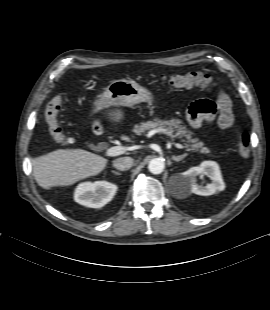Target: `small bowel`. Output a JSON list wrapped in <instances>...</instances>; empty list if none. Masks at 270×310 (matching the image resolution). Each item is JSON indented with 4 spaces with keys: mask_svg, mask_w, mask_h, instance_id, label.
<instances>
[{
    "mask_svg": "<svg viewBox=\"0 0 270 310\" xmlns=\"http://www.w3.org/2000/svg\"><path fill=\"white\" fill-rule=\"evenodd\" d=\"M217 108L219 110V115L216 119L217 126L223 130L228 129L233 124L234 119L231 108V101L229 97L223 92H220L218 95ZM212 119V113L203 114L195 108L194 104L189 108L187 112V120L189 124L194 128H198L204 121H210Z\"/></svg>",
    "mask_w": 270,
    "mask_h": 310,
    "instance_id": "small-bowel-1",
    "label": "small bowel"
}]
</instances>
